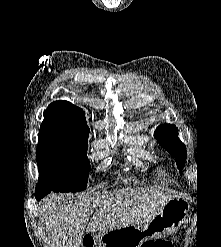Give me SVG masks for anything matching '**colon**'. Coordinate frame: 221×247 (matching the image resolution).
<instances>
[{
	"instance_id": "1",
	"label": "colon",
	"mask_w": 221,
	"mask_h": 247,
	"mask_svg": "<svg viewBox=\"0 0 221 247\" xmlns=\"http://www.w3.org/2000/svg\"><path fill=\"white\" fill-rule=\"evenodd\" d=\"M94 244L92 241H87L84 243L83 247H93ZM142 247H172V243L170 241L164 240L162 243H153L151 241H147L143 243Z\"/></svg>"
}]
</instances>
